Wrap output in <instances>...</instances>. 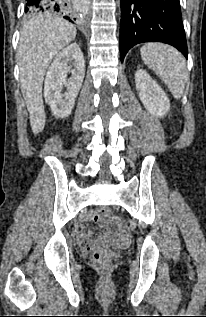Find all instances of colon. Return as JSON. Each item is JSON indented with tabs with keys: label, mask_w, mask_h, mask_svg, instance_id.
<instances>
[{
	"label": "colon",
	"mask_w": 206,
	"mask_h": 317,
	"mask_svg": "<svg viewBox=\"0 0 206 317\" xmlns=\"http://www.w3.org/2000/svg\"><path fill=\"white\" fill-rule=\"evenodd\" d=\"M97 215L99 217V220L103 222L112 221L117 227H121L124 225L121 219L112 218L110 211L106 208L98 209ZM84 246L91 251L92 262L98 268L106 269L113 264L115 259L114 253L110 250L103 248L99 241L89 242Z\"/></svg>",
	"instance_id": "obj_1"
}]
</instances>
